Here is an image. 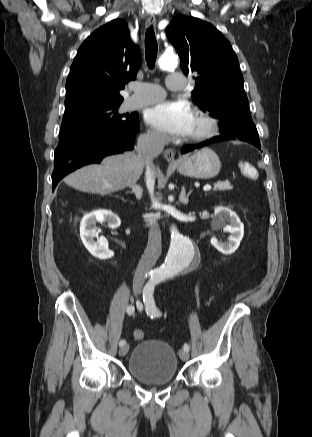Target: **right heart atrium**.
Instances as JSON below:
<instances>
[{"mask_svg":"<svg viewBox=\"0 0 312 437\" xmlns=\"http://www.w3.org/2000/svg\"><path fill=\"white\" fill-rule=\"evenodd\" d=\"M147 137L152 141H157V142H160L164 139L163 136L155 130H149L147 133Z\"/></svg>","mask_w":312,"mask_h":437,"instance_id":"1","label":"right heart atrium"}]
</instances>
